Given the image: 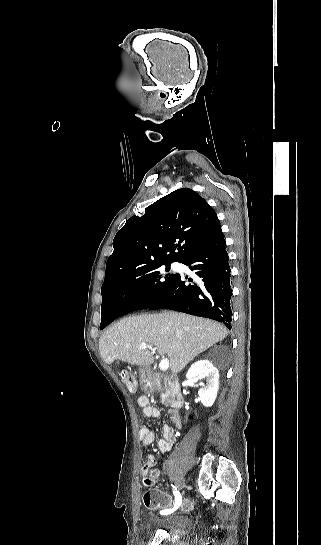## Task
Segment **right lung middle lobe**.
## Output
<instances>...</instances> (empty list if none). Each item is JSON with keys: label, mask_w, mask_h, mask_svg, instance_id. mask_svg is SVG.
<instances>
[{"label": "right lung middle lobe", "mask_w": 321, "mask_h": 545, "mask_svg": "<svg viewBox=\"0 0 321 545\" xmlns=\"http://www.w3.org/2000/svg\"><path fill=\"white\" fill-rule=\"evenodd\" d=\"M162 265H166L165 272L159 270ZM169 270L170 264H160L126 276L117 286L101 290L102 305L113 295L131 296L144 304L153 302L177 276L166 273ZM104 323L105 320L102 318L100 329Z\"/></svg>", "instance_id": "1"}]
</instances>
